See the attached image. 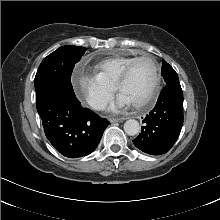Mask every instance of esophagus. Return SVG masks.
I'll list each match as a JSON object with an SVG mask.
<instances>
[{"instance_id":"1","label":"esophagus","mask_w":220,"mask_h":220,"mask_svg":"<svg viewBox=\"0 0 220 220\" xmlns=\"http://www.w3.org/2000/svg\"><path fill=\"white\" fill-rule=\"evenodd\" d=\"M126 118H110L109 121L111 123H116V122H122L124 121Z\"/></svg>"}]
</instances>
